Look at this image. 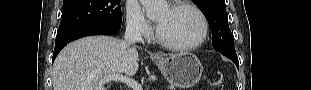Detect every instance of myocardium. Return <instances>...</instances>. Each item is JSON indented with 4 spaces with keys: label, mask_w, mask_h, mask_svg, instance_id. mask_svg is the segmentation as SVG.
Wrapping results in <instances>:
<instances>
[{
    "label": "myocardium",
    "mask_w": 311,
    "mask_h": 90,
    "mask_svg": "<svg viewBox=\"0 0 311 90\" xmlns=\"http://www.w3.org/2000/svg\"><path fill=\"white\" fill-rule=\"evenodd\" d=\"M180 8L190 9L199 17V19L201 21V25H202V31H201V34L198 37V39L196 41L190 43V44H184V45L173 44V43L166 41L160 35L158 27L156 29L155 37H156L157 42L161 46H163L164 48L169 49V50H173V51L185 52V51H190V50L196 49L204 43V41L206 40L207 35H208L209 24H208V20H207L206 16L204 15V13L199 8H197L195 5H193L189 2L180 1V2H176L174 4H171L169 6V9L172 11L180 9Z\"/></svg>",
    "instance_id": "f54148a6"
}]
</instances>
